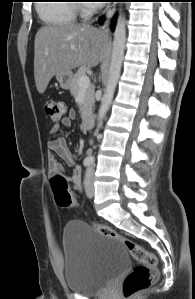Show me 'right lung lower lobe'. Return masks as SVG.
<instances>
[{
	"label": "right lung lower lobe",
	"instance_id": "right-lung-lower-lobe-1",
	"mask_svg": "<svg viewBox=\"0 0 195 299\" xmlns=\"http://www.w3.org/2000/svg\"><path fill=\"white\" fill-rule=\"evenodd\" d=\"M102 21H103V18H101V19L99 20L100 23H102Z\"/></svg>",
	"mask_w": 195,
	"mask_h": 299
}]
</instances>
